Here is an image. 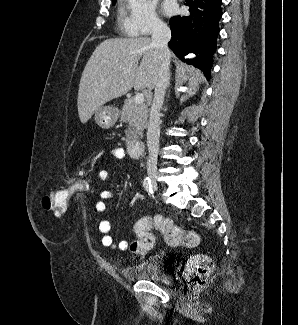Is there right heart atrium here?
Masks as SVG:
<instances>
[{"instance_id":"d8ad5b80","label":"right heart atrium","mask_w":298,"mask_h":325,"mask_svg":"<svg viewBox=\"0 0 298 325\" xmlns=\"http://www.w3.org/2000/svg\"><path fill=\"white\" fill-rule=\"evenodd\" d=\"M127 7V37H146L149 30H162L163 23L158 16L155 0H130Z\"/></svg>"}]
</instances>
